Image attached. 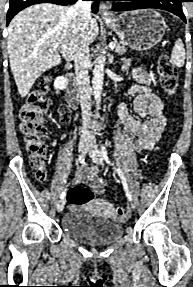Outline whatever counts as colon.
I'll return each instance as SVG.
<instances>
[{
  "label": "colon",
  "mask_w": 193,
  "mask_h": 287,
  "mask_svg": "<svg viewBox=\"0 0 193 287\" xmlns=\"http://www.w3.org/2000/svg\"><path fill=\"white\" fill-rule=\"evenodd\" d=\"M157 71L162 90L169 96H173L178 86V74L175 65L169 56L163 54L157 62ZM51 76H46L28 95L18 114L19 130L30 156L31 165L37 170L36 177L40 182L48 179L46 169V144L42 139L44 131L42 117L49 107V83ZM68 110L59 109L60 123L67 124ZM68 202L71 206H80L94 199L93 191L84 186H74L68 192ZM114 217L125 220L128 212L125 207L118 206L114 210Z\"/></svg>",
  "instance_id": "1"
}]
</instances>
